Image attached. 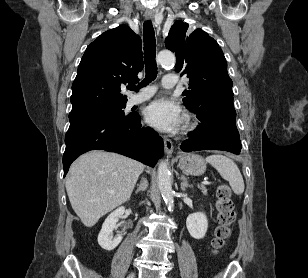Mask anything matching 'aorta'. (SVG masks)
Segmentation results:
<instances>
[{
    "instance_id": "762f6f07",
    "label": "aorta",
    "mask_w": 308,
    "mask_h": 278,
    "mask_svg": "<svg viewBox=\"0 0 308 278\" xmlns=\"http://www.w3.org/2000/svg\"><path fill=\"white\" fill-rule=\"evenodd\" d=\"M157 61L162 66H171L175 63V56L170 51H161L157 56ZM158 187L168 207V210L173 211L174 198L170 179V171L167 162L165 161H161L158 166Z\"/></svg>"
}]
</instances>
